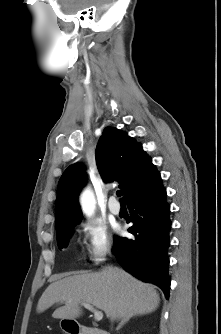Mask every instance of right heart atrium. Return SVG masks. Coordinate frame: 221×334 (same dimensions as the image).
Returning a JSON list of instances; mask_svg holds the SVG:
<instances>
[{
  "label": "right heart atrium",
  "instance_id": "right-heart-atrium-1",
  "mask_svg": "<svg viewBox=\"0 0 221 334\" xmlns=\"http://www.w3.org/2000/svg\"><path fill=\"white\" fill-rule=\"evenodd\" d=\"M83 245L89 260L103 262L112 250V240L106 225L96 219H88L81 225Z\"/></svg>",
  "mask_w": 221,
  "mask_h": 334
}]
</instances>
